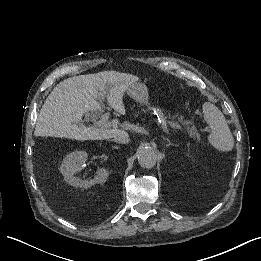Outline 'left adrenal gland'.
<instances>
[{
  "mask_svg": "<svg viewBox=\"0 0 261 261\" xmlns=\"http://www.w3.org/2000/svg\"><path fill=\"white\" fill-rule=\"evenodd\" d=\"M163 140L168 142V147L174 146V144L168 138L163 137Z\"/></svg>",
  "mask_w": 261,
  "mask_h": 261,
  "instance_id": "obj_1",
  "label": "left adrenal gland"
}]
</instances>
